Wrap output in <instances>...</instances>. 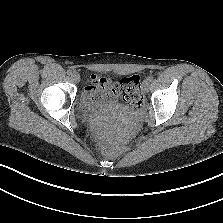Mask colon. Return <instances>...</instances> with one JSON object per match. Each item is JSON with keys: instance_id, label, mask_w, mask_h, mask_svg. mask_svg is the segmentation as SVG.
I'll use <instances>...</instances> for the list:
<instances>
[{"instance_id": "obj_1", "label": "colon", "mask_w": 223, "mask_h": 223, "mask_svg": "<svg viewBox=\"0 0 223 223\" xmlns=\"http://www.w3.org/2000/svg\"><path fill=\"white\" fill-rule=\"evenodd\" d=\"M121 92L122 100L132 109L140 108L142 104V93L140 79L137 75L126 77L117 85ZM101 152L106 156L116 153V148L110 145H102Z\"/></svg>"}]
</instances>
